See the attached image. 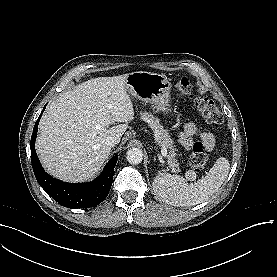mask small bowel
<instances>
[{"instance_id":"c3829d8e","label":"small bowel","mask_w":277,"mask_h":277,"mask_svg":"<svg viewBox=\"0 0 277 277\" xmlns=\"http://www.w3.org/2000/svg\"><path fill=\"white\" fill-rule=\"evenodd\" d=\"M194 138L199 140L206 151H211L215 146V138L209 132L201 131L194 123H186L179 132V142L185 149H190L194 143Z\"/></svg>"}]
</instances>
